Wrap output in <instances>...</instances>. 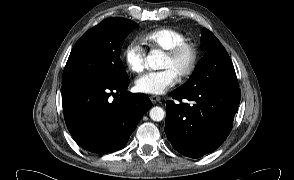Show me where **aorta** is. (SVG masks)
<instances>
[{
	"label": "aorta",
	"instance_id": "aorta-1",
	"mask_svg": "<svg viewBox=\"0 0 294 180\" xmlns=\"http://www.w3.org/2000/svg\"><path fill=\"white\" fill-rule=\"evenodd\" d=\"M146 61L148 66L153 70H158L162 68V57L156 52H152L151 54H149L146 58ZM149 115L153 121L159 122L162 121L165 117V111L161 107L156 106L150 109Z\"/></svg>",
	"mask_w": 294,
	"mask_h": 180
}]
</instances>
